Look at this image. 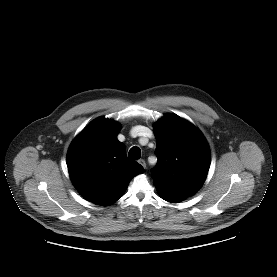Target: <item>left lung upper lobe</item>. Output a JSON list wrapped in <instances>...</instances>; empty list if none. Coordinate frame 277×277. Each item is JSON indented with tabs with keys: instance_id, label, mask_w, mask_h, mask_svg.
Instances as JSON below:
<instances>
[{
	"instance_id": "5c2ea615",
	"label": "left lung upper lobe",
	"mask_w": 277,
	"mask_h": 277,
	"mask_svg": "<svg viewBox=\"0 0 277 277\" xmlns=\"http://www.w3.org/2000/svg\"><path fill=\"white\" fill-rule=\"evenodd\" d=\"M158 162L152 170L157 191L187 198L206 179L210 150L202 133L190 122L168 114L154 127Z\"/></svg>"
}]
</instances>
